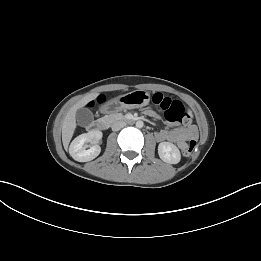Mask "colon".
<instances>
[{
    "mask_svg": "<svg viewBox=\"0 0 261 261\" xmlns=\"http://www.w3.org/2000/svg\"><path fill=\"white\" fill-rule=\"evenodd\" d=\"M152 100L154 105L164 113V116L168 121L177 122L185 126L191 123V117L180 101L172 100L162 93L154 94ZM196 146V141L191 140L182 150L184 156H191L196 149Z\"/></svg>",
    "mask_w": 261,
    "mask_h": 261,
    "instance_id": "1",
    "label": "colon"
}]
</instances>
